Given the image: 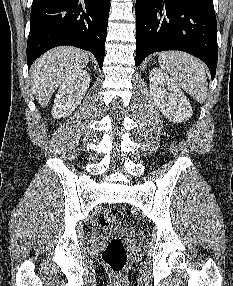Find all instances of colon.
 Listing matches in <instances>:
<instances>
[{
    "instance_id": "colon-1",
    "label": "colon",
    "mask_w": 233,
    "mask_h": 286,
    "mask_svg": "<svg viewBox=\"0 0 233 286\" xmlns=\"http://www.w3.org/2000/svg\"><path fill=\"white\" fill-rule=\"evenodd\" d=\"M124 222L122 211L110 208L103 212L100 223L105 227H113ZM102 260L113 273H119L127 263V253L123 242L118 238H112L102 252Z\"/></svg>"
}]
</instances>
